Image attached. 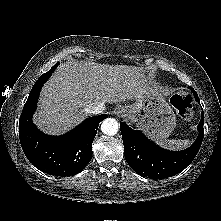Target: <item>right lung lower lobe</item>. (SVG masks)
Wrapping results in <instances>:
<instances>
[{
  "mask_svg": "<svg viewBox=\"0 0 221 221\" xmlns=\"http://www.w3.org/2000/svg\"><path fill=\"white\" fill-rule=\"evenodd\" d=\"M36 82L23 107L19 120V138L28 160L38 169L56 176L74 175L89 163L92 142L98 124L106 115L87 118L75 129L62 136H49L37 129L32 122L43 84Z\"/></svg>",
  "mask_w": 221,
  "mask_h": 221,
  "instance_id": "obj_1",
  "label": "right lung lower lobe"
}]
</instances>
